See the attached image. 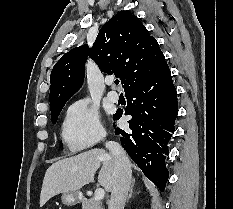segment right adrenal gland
Returning <instances> with one entry per match:
<instances>
[{"label": "right adrenal gland", "mask_w": 233, "mask_h": 209, "mask_svg": "<svg viewBox=\"0 0 233 209\" xmlns=\"http://www.w3.org/2000/svg\"><path fill=\"white\" fill-rule=\"evenodd\" d=\"M134 183H135V179L133 178L132 183H131V187H130V190H129V195H128V198H127V202L132 197Z\"/></svg>", "instance_id": "obj_1"}]
</instances>
